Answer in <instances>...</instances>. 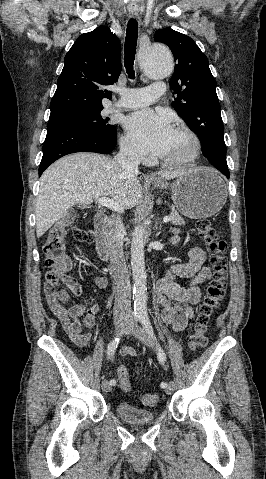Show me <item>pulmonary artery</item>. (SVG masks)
<instances>
[{"label":"pulmonary artery","instance_id":"e3ab8cb5","mask_svg":"<svg viewBox=\"0 0 266 479\" xmlns=\"http://www.w3.org/2000/svg\"><path fill=\"white\" fill-rule=\"evenodd\" d=\"M164 92V82H154L147 87L120 90L118 93L121 95V99L113 106L125 109L147 106L162 97Z\"/></svg>","mask_w":266,"mask_h":479}]
</instances>
